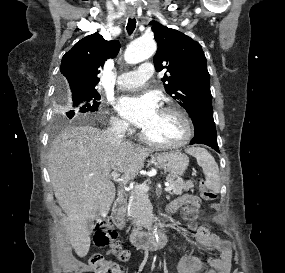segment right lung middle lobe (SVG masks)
Listing matches in <instances>:
<instances>
[{
	"mask_svg": "<svg viewBox=\"0 0 285 273\" xmlns=\"http://www.w3.org/2000/svg\"><path fill=\"white\" fill-rule=\"evenodd\" d=\"M100 95L96 89L69 92L61 81L57 93L59 105L56 122L77 118L82 113L98 110Z\"/></svg>",
	"mask_w": 285,
	"mask_h": 273,
	"instance_id": "obj_1",
	"label": "right lung middle lobe"
}]
</instances>
